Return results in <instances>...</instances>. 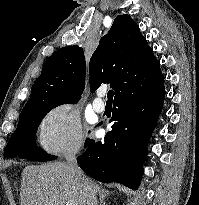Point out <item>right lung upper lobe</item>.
Returning a JSON list of instances; mask_svg holds the SVG:
<instances>
[{"instance_id":"1","label":"right lung upper lobe","mask_w":199,"mask_h":205,"mask_svg":"<svg viewBox=\"0 0 199 205\" xmlns=\"http://www.w3.org/2000/svg\"><path fill=\"white\" fill-rule=\"evenodd\" d=\"M84 51L74 45L54 52L36 79L30 98L33 101L77 103L85 85ZM160 70L152 48L129 15H118L108 34L100 39L89 64L90 86L94 92L110 84L115 96L133 81ZM26 103V104H27Z\"/></svg>"}]
</instances>
